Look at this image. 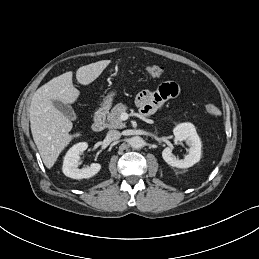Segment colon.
<instances>
[{
	"instance_id": "colon-1",
	"label": "colon",
	"mask_w": 259,
	"mask_h": 259,
	"mask_svg": "<svg viewBox=\"0 0 259 259\" xmlns=\"http://www.w3.org/2000/svg\"><path fill=\"white\" fill-rule=\"evenodd\" d=\"M146 73L152 77H160L164 74V67L161 65H149L146 67ZM205 111L212 115V116H218L220 114L219 108L212 104V103H206L204 105Z\"/></svg>"
}]
</instances>
